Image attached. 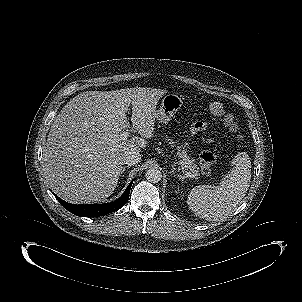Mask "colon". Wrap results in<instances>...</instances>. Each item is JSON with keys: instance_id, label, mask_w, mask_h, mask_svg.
<instances>
[{"instance_id": "5ec220e1", "label": "colon", "mask_w": 302, "mask_h": 302, "mask_svg": "<svg viewBox=\"0 0 302 302\" xmlns=\"http://www.w3.org/2000/svg\"><path fill=\"white\" fill-rule=\"evenodd\" d=\"M210 113L222 120V122L233 132L241 136L240 126L234 116L228 113L223 103L219 101L211 102L209 105ZM216 160V154L211 150L201 153L199 162L202 175L208 177L211 174V168Z\"/></svg>"}]
</instances>
